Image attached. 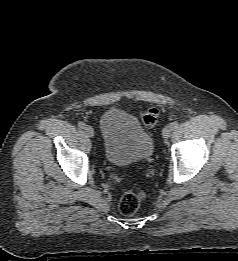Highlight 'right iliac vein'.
<instances>
[{
    "label": "right iliac vein",
    "mask_w": 238,
    "mask_h": 261,
    "mask_svg": "<svg viewBox=\"0 0 238 261\" xmlns=\"http://www.w3.org/2000/svg\"><path fill=\"white\" fill-rule=\"evenodd\" d=\"M84 130H85V133L88 137L92 138L94 136V130L91 126H88V125L85 126Z\"/></svg>",
    "instance_id": "obj_1"
}]
</instances>
